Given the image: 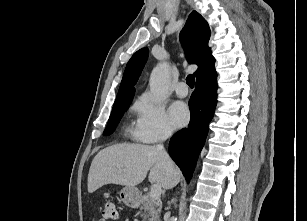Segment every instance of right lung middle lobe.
Segmentation results:
<instances>
[{"label": "right lung middle lobe", "instance_id": "right-lung-middle-lobe-1", "mask_svg": "<svg viewBox=\"0 0 307 221\" xmlns=\"http://www.w3.org/2000/svg\"><path fill=\"white\" fill-rule=\"evenodd\" d=\"M131 101L132 98L114 103L104 135H109L114 131L116 125L123 116V113L128 109Z\"/></svg>", "mask_w": 307, "mask_h": 221}]
</instances>
